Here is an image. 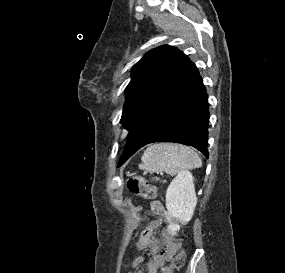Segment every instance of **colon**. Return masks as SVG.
<instances>
[{
  "label": "colon",
  "instance_id": "colon-1",
  "mask_svg": "<svg viewBox=\"0 0 285 273\" xmlns=\"http://www.w3.org/2000/svg\"><path fill=\"white\" fill-rule=\"evenodd\" d=\"M127 188L131 193L143 199H152L156 195V190L153 187L149 186L145 180L138 176H133L128 179ZM141 231L145 232L146 228L142 227ZM183 263L184 252L179 251L172 259L170 265L166 266L162 270V273H173L175 269L181 268L183 266Z\"/></svg>",
  "mask_w": 285,
  "mask_h": 273
}]
</instances>
